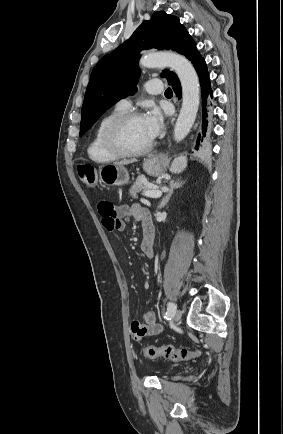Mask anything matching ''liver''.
I'll list each match as a JSON object with an SVG mask.
<instances>
[{"mask_svg":"<svg viewBox=\"0 0 283 434\" xmlns=\"http://www.w3.org/2000/svg\"><path fill=\"white\" fill-rule=\"evenodd\" d=\"M133 162H135V160L120 161V162H116L115 165H127Z\"/></svg>","mask_w":283,"mask_h":434,"instance_id":"6515ba94","label":"liver"}]
</instances>
